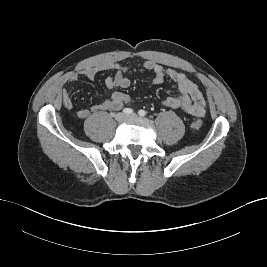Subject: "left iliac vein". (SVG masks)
<instances>
[{"instance_id":"4c4485c4","label":"left iliac vein","mask_w":267,"mask_h":267,"mask_svg":"<svg viewBox=\"0 0 267 267\" xmlns=\"http://www.w3.org/2000/svg\"><path fill=\"white\" fill-rule=\"evenodd\" d=\"M127 117L128 118H135V117H137V115L136 114H131V115H128Z\"/></svg>"}]
</instances>
